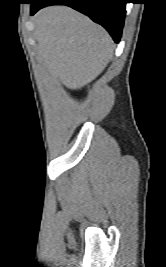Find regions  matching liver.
Here are the masks:
<instances>
[{
    "label": "liver",
    "instance_id": "obj_1",
    "mask_svg": "<svg viewBox=\"0 0 166 267\" xmlns=\"http://www.w3.org/2000/svg\"><path fill=\"white\" fill-rule=\"evenodd\" d=\"M35 25L38 56L67 88L90 83L113 56L115 46L107 31L71 8H44L36 15Z\"/></svg>",
    "mask_w": 166,
    "mask_h": 267
}]
</instances>
